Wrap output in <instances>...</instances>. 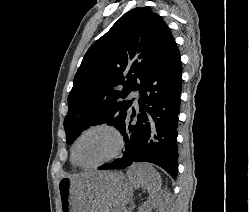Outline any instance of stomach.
I'll list each match as a JSON object with an SVG mask.
<instances>
[{"instance_id": "1", "label": "stomach", "mask_w": 249, "mask_h": 212, "mask_svg": "<svg viewBox=\"0 0 249 212\" xmlns=\"http://www.w3.org/2000/svg\"><path fill=\"white\" fill-rule=\"evenodd\" d=\"M58 182L61 212H109L127 204L135 184H128L125 170H86Z\"/></svg>"}]
</instances>
